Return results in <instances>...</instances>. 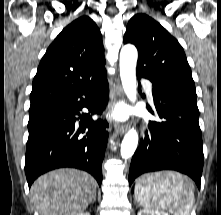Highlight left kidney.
I'll list each match as a JSON object with an SVG mask.
<instances>
[{"instance_id":"obj_1","label":"left kidney","mask_w":221,"mask_h":215,"mask_svg":"<svg viewBox=\"0 0 221 215\" xmlns=\"http://www.w3.org/2000/svg\"><path fill=\"white\" fill-rule=\"evenodd\" d=\"M137 215H169V214L162 212V211H153V210L143 209V210H140Z\"/></svg>"}]
</instances>
